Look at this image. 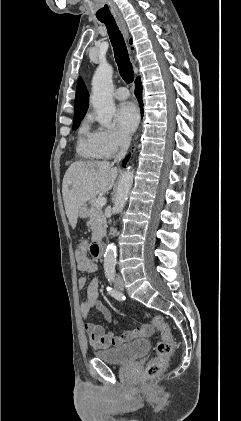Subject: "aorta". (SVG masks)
I'll use <instances>...</instances> for the list:
<instances>
[{
	"mask_svg": "<svg viewBox=\"0 0 241 421\" xmlns=\"http://www.w3.org/2000/svg\"><path fill=\"white\" fill-rule=\"evenodd\" d=\"M112 74V67L107 62H101L92 79L91 101L97 113V120L101 125L108 128L112 126V117L116 110L112 97ZM133 177L134 171L128 168L120 178L113 207L116 213H121L125 207L133 184ZM115 263L116 246L110 244L107 246L104 255V266L106 268L114 267Z\"/></svg>",
	"mask_w": 241,
	"mask_h": 421,
	"instance_id": "obj_1",
	"label": "aorta"
}]
</instances>
